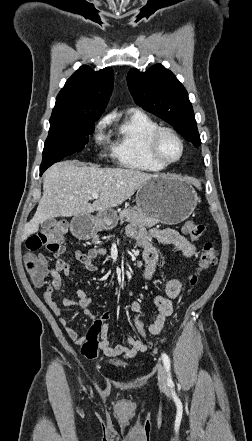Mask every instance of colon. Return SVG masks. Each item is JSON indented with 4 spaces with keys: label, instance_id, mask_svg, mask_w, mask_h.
Listing matches in <instances>:
<instances>
[{
    "label": "colon",
    "instance_id": "obj_1",
    "mask_svg": "<svg viewBox=\"0 0 252 441\" xmlns=\"http://www.w3.org/2000/svg\"><path fill=\"white\" fill-rule=\"evenodd\" d=\"M204 229L202 224L189 220L184 224L183 231L191 240H198ZM66 233L67 223L58 221L28 239L26 243V268L35 286L40 287L44 284L48 271L45 258L42 255H37L36 252L42 249L53 253L63 252L65 250L64 239ZM217 259L218 253L214 245L212 243L204 244L199 255L197 269L189 277L190 285L194 286L198 282L200 274L213 267L217 263ZM109 318L110 313L105 311L94 320L89 328L81 345V353L85 357L89 359L98 357L100 352L98 335ZM133 326L139 333H144L145 327L138 314L133 319Z\"/></svg>",
    "mask_w": 252,
    "mask_h": 441
}]
</instances>
